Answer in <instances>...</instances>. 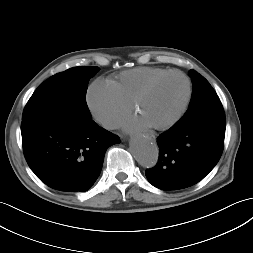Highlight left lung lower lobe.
Returning a JSON list of instances; mask_svg holds the SVG:
<instances>
[{"label": "left lung lower lobe", "instance_id": "0a47b994", "mask_svg": "<svg viewBox=\"0 0 253 253\" xmlns=\"http://www.w3.org/2000/svg\"><path fill=\"white\" fill-rule=\"evenodd\" d=\"M225 128V117L179 120L157 139L159 161L146 171L148 181L162 190L183 189L199 182L221 157Z\"/></svg>", "mask_w": 253, "mask_h": 253}]
</instances>
